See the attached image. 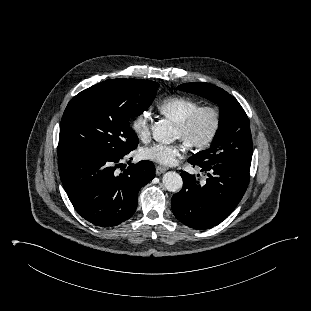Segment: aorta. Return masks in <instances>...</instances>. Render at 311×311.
Masks as SVG:
<instances>
[{"mask_svg":"<svg viewBox=\"0 0 311 311\" xmlns=\"http://www.w3.org/2000/svg\"><path fill=\"white\" fill-rule=\"evenodd\" d=\"M152 135L155 141L163 144H170L175 140L172 124L164 120L154 125ZM162 182L164 187L170 192H178L183 186L182 177L174 171L166 172L163 175Z\"/></svg>","mask_w":311,"mask_h":311,"instance_id":"1","label":"aorta"}]
</instances>
